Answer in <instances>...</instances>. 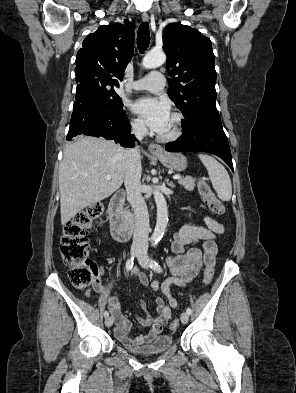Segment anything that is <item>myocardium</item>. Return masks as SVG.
Returning <instances> with one entry per match:
<instances>
[{
  "label": "myocardium",
  "mask_w": 296,
  "mask_h": 393,
  "mask_svg": "<svg viewBox=\"0 0 296 393\" xmlns=\"http://www.w3.org/2000/svg\"><path fill=\"white\" fill-rule=\"evenodd\" d=\"M171 116L174 119L175 125L173 130L167 135L158 134V140L162 142H170L177 140L183 133V116L179 112H173Z\"/></svg>",
  "instance_id": "1"
}]
</instances>
